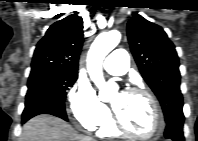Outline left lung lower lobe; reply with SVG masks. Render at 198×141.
<instances>
[{
	"instance_id": "0a47b994",
	"label": "left lung lower lobe",
	"mask_w": 198,
	"mask_h": 141,
	"mask_svg": "<svg viewBox=\"0 0 198 141\" xmlns=\"http://www.w3.org/2000/svg\"><path fill=\"white\" fill-rule=\"evenodd\" d=\"M183 121L181 118L170 120L165 130V137L174 141H184L183 136Z\"/></svg>"
}]
</instances>
